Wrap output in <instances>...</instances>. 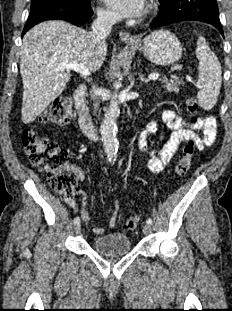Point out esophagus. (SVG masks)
I'll use <instances>...</instances> for the list:
<instances>
[{
  "label": "esophagus",
  "mask_w": 232,
  "mask_h": 311,
  "mask_svg": "<svg viewBox=\"0 0 232 311\" xmlns=\"http://www.w3.org/2000/svg\"><path fill=\"white\" fill-rule=\"evenodd\" d=\"M119 37L123 41H135L136 40L135 37L131 36L129 33L125 32V31H121L119 33Z\"/></svg>",
  "instance_id": "1"
}]
</instances>
